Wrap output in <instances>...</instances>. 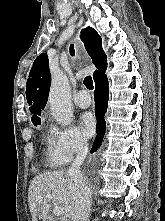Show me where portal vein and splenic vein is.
I'll return each instance as SVG.
<instances>
[{"instance_id":"portal-vein-and-splenic-vein-1","label":"portal vein and splenic vein","mask_w":165,"mask_h":221,"mask_svg":"<svg viewBox=\"0 0 165 221\" xmlns=\"http://www.w3.org/2000/svg\"><path fill=\"white\" fill-rule=\"evenodd\" d=\"M44 196H45L46 198H48V199H52V198H53L52 195L49 194V193L45 194ZM41 198H42V196H39V197H38V199H41ZM53 212H54V214H55L56 216H62V215H64V209H63L62 207H60V206H56V207L54 208Z\"/></svg>"}]
</instances>
